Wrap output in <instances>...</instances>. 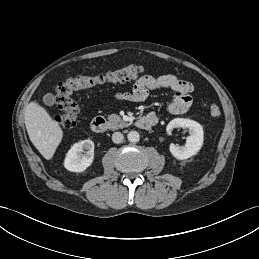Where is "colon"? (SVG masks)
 Returning <instances> with one entry per match:
<instances>
[{
	"label": "colon",
	"instance_id": "5ec220e1",
	"mask_svg": "<svg viewBox=\"0 0 259 259\" xmlns=\"http://www.w3.org/2000/svg\"><path fill=\"white\" fill-rule=\"evenodd\" d=\"M144 72L142 66H128L104 74L79 76L60 81L56 87L55 101L61 114L58 123L63 129H73L77 125L79 107L73 99L76 91L101 85L104 83H121L137 78ZM209 112L213 117H218L221 110L217 105H211Z\"/></svg>",
	"mask_w": 259,
	"mask_h": 259
}]
</instances>
